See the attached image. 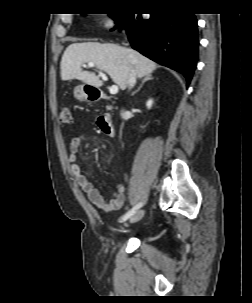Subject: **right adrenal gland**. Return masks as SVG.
<instances>
[{"label": "right adrenal gland", "mask_w": 252, "mask_h": 303, "mask_svg": "<svg viewBox=\"0 0 252 303\" xmlns=\"http://www.w3.org/2000/svg\"><path fill=\"white\" fill-rule=\"evenodd\" d=\"M152 79H153V77H152L151 75L144 76L141 85H140V86L138 87V89H137L136 91H134L131 95H132V96L135 95V94L141 89V87L143 86V84H144L146 81L152 80Z\"/></svg>", "instance_id": "2a0ac1e0"}]
</instances>
